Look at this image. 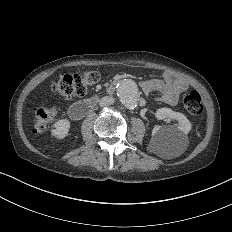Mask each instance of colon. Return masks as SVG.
I'll return each mask as SVG.
<instances>
[{
    "label": "colon",
    "instance_id": "obj_1",
    "mask_svg": "<svg viewBox=\"0 0 232 232\" xmlns=\"http://www.w3.org/2000/svg\"><path fill=\"white\" fill-rule=\"evenodd\" d=\"M59 79L60 81H55L52 86L54 94L71 96L76 93L83 95L87 89H91V84L98 82L99 75L95 71H82L81 74H59ZM178 107H183L188 113V117L199 118L203 114V109L200 106V96L193 89L183 92L182 102H178ZM36 113L37 116H34L33 120L38 121V125H52L51 117H55L57 108L41 106L36 108ZM39 131H52V126H39Z\"/></svg>",
    "mask_w": 232,
    "mask_h": 232
}]
</instances>
